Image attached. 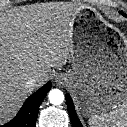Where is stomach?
I'll return each instance as SVG.
<instances>
[{"mask_svg": "<svg viewBox=\"0 0 127 127\" xmlns=\"http://www.w3.org/2000/svg\"><path fill=\"white\" fill-rule=\"evenodd\" d=\"M87 8L78 12L77 20H86ZM77 44L71 54L72 69L64 83L81 100L86 115L114 109L127 99V53L115 52L87 27H78Z\"/></svg>", "mask_w": 127, "mask_h": 127, "instance_id": "obj_1", "label": "stomach"}]
</instances>
